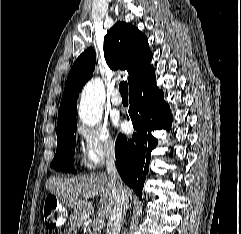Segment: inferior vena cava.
<instances>
[{
  "mask_svg": "<svg viewBox=\"0 0 241 234\" xmlns=\"http://www.w3.org/2000/svg\"><path fill=\"white\" fill-rule=\"evenodd\" d=\"M115 152L111 147L107 154L106 171L112 183V210L108 217L106 234H120L121 225L128 209V195L126 187L120 179L116 165Z\"/></svg>",
  "mask_w": 241,
  "mask_h": 234,
  "instance_id": "1",
  "label": "inferior vena cava"
}]
</instances>
